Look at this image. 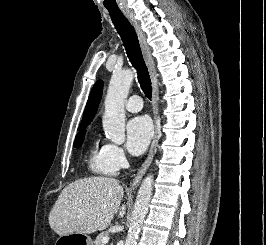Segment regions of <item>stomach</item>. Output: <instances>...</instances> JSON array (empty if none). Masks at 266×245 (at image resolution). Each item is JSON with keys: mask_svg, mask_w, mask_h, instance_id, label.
<instances>
[{"mask_svg": "<svg viewBox=\"0 0 266 245\" xmlns=\"http://www.w3.org/2000/svg\"><path fill=\"white\" fill-rule=\"evenodd\" d=\"M61 242H74V245H93V241L86 233H63Z\"/></svg>", "mask_w": 266, "mask_h": 245, "instance_id": "1", "label": "stomach"}]
</instances>
